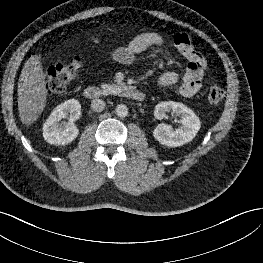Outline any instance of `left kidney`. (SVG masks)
<instances>
[{"instance_id": "obj_1", "label": "left kidney", "mask_w": 263, "mask_h": 263, "mask_svg": "<svg viewBox=\"0 0 263 263\" xmlns=\"http://www.w3.org/2000/svg\"><path fill=\"white\" fill-rule=\"evenodd\" d=\"M170 111L179 116L180 127L174 130L172 126L160 123L153 131L154 138L167 147H179L192 141L201 127L199 117L183 103L174 101L157 104L154 116L156 119L162 120L168 117L167 113Z\"/></svg>"}]
</instances>
